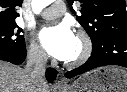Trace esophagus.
I'll list each match as a JSON object with an SVG mask.
<instances>
[{
  "label": "esophagus",
  "instance_id": "1",
  "mask_svg": "<svg viewBox=\"0 0 127 92\" xmlns=\"http://www.w3.org/2000/svg\"><path fill=\"white\" fill-rule=\"evenodd\" d=\"M55 85H56V87H63L66 85V83L62 80H57Z\"/></svg>",
  "mask_w": 127,
  "mask_h": 92
}]
</instances>
